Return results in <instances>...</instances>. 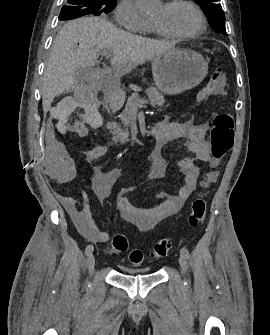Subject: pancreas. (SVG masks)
I'll return each instance as SVG.
<instances>
[{
    "instance_id": "1",
    "label": "pancreas",
    "mask_w": 270,
    "mask_h": 335,
    "mask_svg": "<svg viewBox=\"0 0 270 335\" xmlns=\"http://www.w3.org/2000/svg\"><path fill=\"white\" fill-rule=\"evenodd\" d=\"M146 94H148V98L150 100L151 106H163L165 104L164 96L159 92L158 88H154V86H150L148 90H145ZM135 100H137L136 104H140V102H143L142 98L140 96H134ZM134 106H126L124 112L121 114V120L123 126H125L126 130H121L120 126L118 124H112L113 126V142H125L127 136H129V132L127 130L129 124H131V116H132V110Z\"/></svg>"
}]
</instances>
